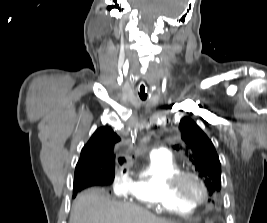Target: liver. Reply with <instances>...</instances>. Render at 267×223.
<instances>
[{"instance_id":"1","label":"liver","mask_w":267,"mask_h":223,"mask_svg":"<svg viewBox=\"0 0 267 223\" xmlns=\"http://www.w3.org/2000/svg\"><path fill=\"white\" fill-rule=\"evenodd\" d=\"M69 223H174L127 202L106 198L99 189H89L74 200Z\"/></svg>"}]
</instances>
